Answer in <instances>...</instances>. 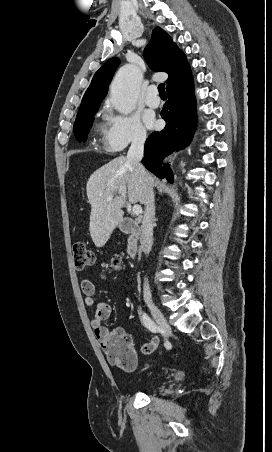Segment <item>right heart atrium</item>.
Returning a JSON list of instances; mask_svg holds the SVG:
<instances>
[{
	"mask_svg": "<svg viewBox=\"0 0 272 452\" xmlns=\"http://www.w3.org/2000/svg\"><path fill=\"white\" fill-rule=\"evenodd\" d=\"M106 129L103 133V146L109 151H121L128 145H140L146 140L147 133L134 114H118L107 107L104 112Z\"/></svg>",
	"mask_w": 272,
	"mask_h": 452,
	"instance_id": "1",
	"label": "right heart atrium"
}]
</instances>
